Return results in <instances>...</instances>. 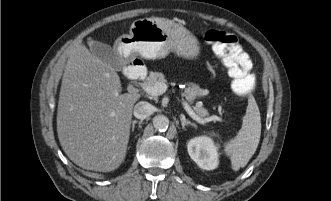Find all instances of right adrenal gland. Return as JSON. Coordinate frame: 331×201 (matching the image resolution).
<instances>
[{"mask_svg": "<svg viewBox=\"0 0 331 201\" xmlns=\"http://www.w3.org/2000/svg\"><path fill=\"white\" fill-rule=\"evenodd\" d=\"M138 123L137 120H133L132 121V132H134V129H135V125Z\"/></svg>", "mask_w": 331, "mask_h": 201, "instance_id": "1", "label": "right adrenal gland"}]
</instances>
